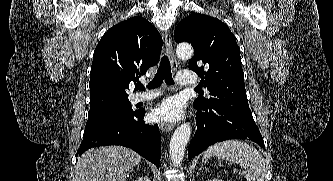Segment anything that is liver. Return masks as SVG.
I'll return each mask as SVG.
<instances>
[{
	"mask_svg": "<svg viewBox=\"0 0 333 181\" xmlns=\"http://www.w3.org/2000/svg\"><path fill=\"white\" fill-rule=\"evenodd\" d=\"M141 158L123 146L91 148L78 159L74 181H126Z\"/></svg>",
	"mask_w": 333,
	"mask_h": 181,
	"instance_id": "1",
	"label": "liver"
}]
</instances>
